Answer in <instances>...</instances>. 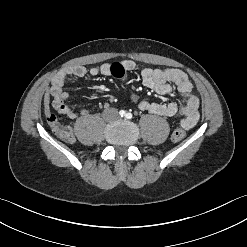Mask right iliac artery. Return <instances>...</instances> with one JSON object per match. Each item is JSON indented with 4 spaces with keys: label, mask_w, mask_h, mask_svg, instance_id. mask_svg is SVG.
Wrapping results in <instances>:
<instances>
[{
    "label": "right iliac artery",
    "mask_w": 247,
    "mask_h": 247,
    "mask_svg": "<svg viewBox=\"0 0 247 247\" xmlns=\"http://www.w3.org/2000/svg\"><path fill=\"white\" fill-rule=\"evenodd\" d=\"M119 115H120L121 117H124V116H126V112H125L124 110H120V111H119Z\"/></svg>",
    "instance_id": "right-iliac-artery-1"
}]
</instances>
